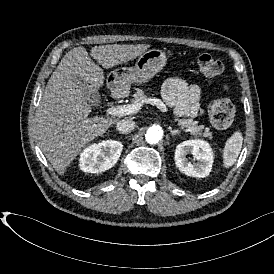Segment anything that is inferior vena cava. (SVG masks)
<instances>
[{"label": "inferior vena cava", "mask_w": 274, "mask_h": 274, "mask_svg": "<svg viewBox=\"0 0 274 274\" xmlns=\"http://www.w3.org/2000/svg\"><path fill=\"white\" fill-rule=\"evenodd\" d=\"M135 122L131 119H126V120H120L116 124V129L119 131L121 134H127L130 133L132 130L135 128Z\"/></svg>", "instance_id": "inferior-vena-cava-1"}]
</instances>
